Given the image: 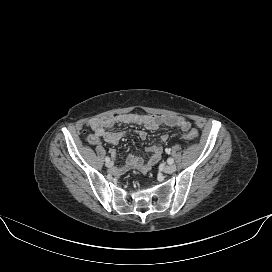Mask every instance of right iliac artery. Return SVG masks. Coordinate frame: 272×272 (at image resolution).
Masks as SVG:
<instances>
[{"label": "right iliac artery", "instance_id": "82829eb1", "mask_svg": "<svg viewBox=\"0 0 272 272\" xmlns=\"http://www.w3.org/2000/svg\"><path fill=\"white\" fill-rule=\"evenodd\" d=\"M105 161H106V162H109V161H110V158H109V157H106V158H105Z\"/></svg>", "mask_w": 272, "mask_h": 272}]
</instances>
